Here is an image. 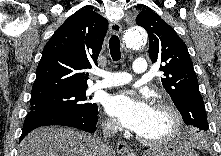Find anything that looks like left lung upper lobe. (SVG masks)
Instances as JSON below:
<instances>
[{"label": "left lung upper lobe", "mask_w": 221, "mask_h": 156, "mask_svg": "<svg viewBox=\"0 0 221 156\" xmlns=\"http://www.w3.org/2000/svg\"><path fill=\"white\" fill-rule=\"evenodd\" d=\"M136 23L148 33L149 57L153 63H162L159 68L163 72L162 85L185 124L207 131V114L185 43L170 25L151 10L140 12Z\"/></svg>", "instance_id": "5c2ea615"}]
</instances>
